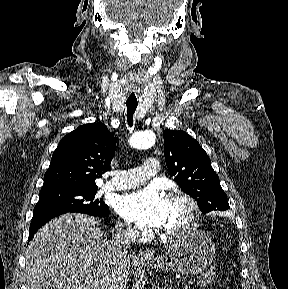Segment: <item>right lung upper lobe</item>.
<instances>
[{
	"mask_svg": "<svg viewBox=\"0 0 288 289\" xmlns=\"http://www.w3.org/2000/svg\"><path fill=\"white\" fill-rule=\"evenodd\" d=\"M116 141L103 123H89L62 138L44 175L42 188L96 187L110 170Z\"/></svg>",
	"mask_w": 288,
	"mask_h": 289,
	"instance_id": "cb5924a9",
	"label": "right lung upper lobe"
}]
</instances>
